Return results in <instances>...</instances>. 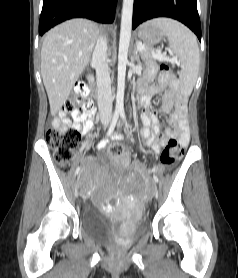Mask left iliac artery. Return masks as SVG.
Segmentation results:
<instances>
[{
	"instance_id": "obj_1",
	"label": "left iliac artery",
	"mask_w": 238,
	"mask_h": 278,
	"mask_svg": "<svg viewBox=\"0 0 238 278\" xmlns=\"http://www.w3.org/2000/svg\"><path fill=\"white\" fill-rule=\"evenodd\" d=\"M121 118H122L123 120H125V115H124V113H121ZM153 179H154L155 182H158V181H159V180H158V177H157L156 175L153 176Z\"/></svg>"
}]
</instances>
